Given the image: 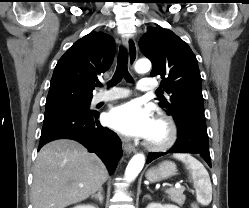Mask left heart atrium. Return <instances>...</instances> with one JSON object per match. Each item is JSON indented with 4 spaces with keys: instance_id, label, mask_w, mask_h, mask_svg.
<instances>
[{
    "instance_id": "obj_1",
    "label": "left heart atrium",
    "mask_w": 249,
    "mask_h": 208,
    "mask_svg": "<svg viewBox=\"0 0 249 208\" xmlns=\"http://www.w3.org/2000/svg\"><path fill=\"white\" fill-rule=\"evenodd\" d=\"M107 123L127 137L150 139L156 122L148 108L130 101L114 107L107 115Z\"/></svg>"
}]
</instances>
